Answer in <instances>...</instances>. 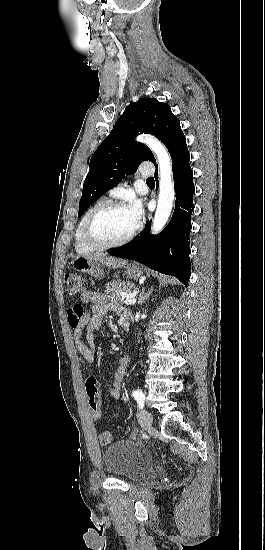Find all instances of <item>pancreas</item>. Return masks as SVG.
<instances>
[{
	"instance_id": "cf45deb5",
	"label": "pancreas",
	"mask_w": 265,
	"mask_h": 550,
	"mask_svg": "<svg viewBox=\"0 0 265 550\" xmlns=\"http://www.w3.org/2000/svg\"><path fill=\"white\" fill-rule=\"evenodd\" d=\"M134 289L135 285L133 283L116 280L106 285L105 292L109 295L110 301L121 304L124 300L121 292L131 293Z\"/></svg>"
}]
</instances>
